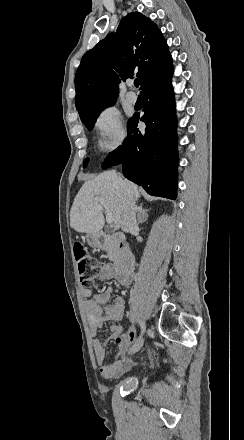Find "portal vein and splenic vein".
<instances>
[{
	"label": "portal vein and splenic vein",
	"mask_w": 244,
	"mask_h": 440,
	"mask_svg": "<svg viewBox=\"0 0 244 440\" xmlns=\"http://www.w3.org/2000/svg\"><path fill=\"white\" fill-rule=\"evenodd\" d=\"M97 202H99V204H101V206H103V208H107L106 206V200H103V198H99V200H97ZM106 222L107 224H113L114 222V218H113V214H111V212H109V210H106Z\"/></svg>",
	"instance_id": "18ae733b"
}]
</instances>
